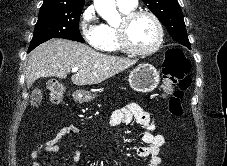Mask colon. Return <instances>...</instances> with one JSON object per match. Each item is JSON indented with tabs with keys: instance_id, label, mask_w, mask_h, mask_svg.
I'll return each instance as SVG.
<instances>
[{
	"instance_id": "obj_1",
	"label": "colon",
	"mask_w": 227,
	"mask_h": 166,
	"mask_svg": "<svg viewBox=\"0 0 227 166\" xmlns=\"http://www.w3.org/2000/svg\"><path fill=\"white\" fill-rule=\"evenodd\" d=\"M189 61L182 50L171 48L167 51L163 69V90L169 99V112L173 116H181L183 109L181 104L183 90L189 87ZM179 84L180 89L173 91V86ZM50 100L53 103H60L67 95L66 87L56 80L48 84Z\"/></svg>"
}]
</instances>
